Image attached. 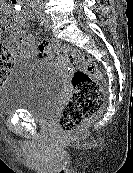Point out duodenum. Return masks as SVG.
I'll use <instances>...</instances> for the list:
<instances>
[{
    "label": "duodenum",
    "instance_id": "obj_1",
    "mask_svg": "<svg viewBox=\"0 0 133 173\" xmlns=\"http://www.w3.org/2000/svg\"><path fill=\"white\" fill-rule=\"evenodd\" d=\"M11 3L13 5H19L24 16L32 17L31 6L26 0H11Z\"/></svg>",
    "mask_w": 133,
    "mask_h": 173
}]
</instances>
